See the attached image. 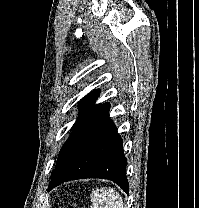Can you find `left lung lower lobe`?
<instances>
[{"label":"left lung lower lobe","instance_id":"1","mask_svg":"<svg viewBox=\"0 0 199 208\" xmlns=\"http://www.w3.org/2000/svg\"><path fill=\"white\" fill-rule=\"evenodd\" d=\"M109 109V103L103 104L71 133L59 152L48 191L69 180L103 178L129 192L127 159Z\"/></svg>","mask_w":199,"mask_h":208}]
</instances>
